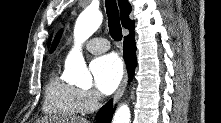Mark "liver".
<instances>
[{"label": "liver", "instance_id": "1", "mask_svg": "<svg viewBox=\"0 0 221 123\" xmlns=\"http://www.w3.org/2000/svg\"><path fill=\"white\" fill-rule=\"evenodd\" d=\"M53 121H55V120H53ZM62 122H65V120H62ZM69 123H89V121L86 119H83V118L73 117L70 119Z\"/></svg>", "mask_w": 221, "mask_h": 123}]
</instances>
